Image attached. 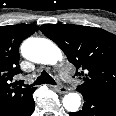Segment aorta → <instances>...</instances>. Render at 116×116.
<instances>
[{
  "label": "aorta",
  "instance_id": "762f6f07",
  "mask_svg": "<svg viewBox=\"0 0 116 116\" xmlns=\"http://www.w3.org/2000/svg\"><path fill=\"white\" fill-rule=\"evenodd\" d=\"M21 53L26 59L46 65H54L62 59V51L51 40L31 37L21 45ZM81 105L78 93L66 94L63 98V106L69 112H76Z\"/></svg>",
  "mask_w": 116,
  "mask_h": 116
}]
</instances>
